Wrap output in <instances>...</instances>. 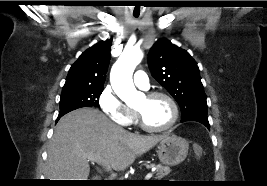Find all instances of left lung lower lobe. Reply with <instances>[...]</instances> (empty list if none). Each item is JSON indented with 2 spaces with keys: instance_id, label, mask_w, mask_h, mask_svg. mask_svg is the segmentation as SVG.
<instances>
[{
  "instance_id": "0a47b994",
  "label": "left lung lower lobe",
  "mask_w": 267,
  "mask_h": 186,
  "mask_svg": "<svg viewBox=\"0 0 267 186\" xmlns=\"http://www.w3.org/2000/svg\"><path fill=\"white\" fill-rule=\"evenodd\" d=\"M183 122H185V121H183ZM197 122L204 124L208 129L210 128L209 122H206V121H197Z\"/></svg>"
}]
</instances>
